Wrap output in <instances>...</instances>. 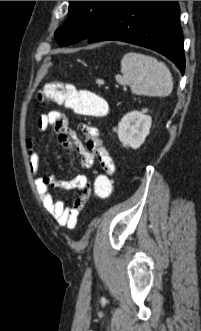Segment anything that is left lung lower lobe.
Masks as SVG:
<instances>
[{
	"label": "left lung lower lobe",
	"mask_w": 201,
	"mask_h": 331,
	"mask_svg": "<svg viewBox=\"0 0 201 331\" xmlns=\"http://www.w3.org/2000/svg\"><path fill=\"white\" fill-rule=\"evenodd\" d=\"M177 1H120L87 38L89 43L124 41L157 51L185 70Z\"/></svg>",
	"instance_id": "obj_1"
}]
</instances>
